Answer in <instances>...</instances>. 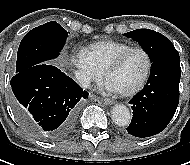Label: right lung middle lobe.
Segmentation results:
<instances>
[{
  "mask_svg": "<svg viewBox=\"0 0 190 165\" xmlns=\"http://www.w3.org/2000/svg\"><path fill=\"white\" fill-rule=\"evenodd\" d=\"M67 36V31L54 21L29 31L19 45L16 72H22L56 58Z\"/></svg>",
  "mask_w": 190,
  "mask_h": 165,
  "instance_id": "dd1d6c3e",
  "label": "right lung middle lobe"
}]
</instances>
